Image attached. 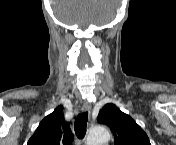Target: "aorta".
Returning <instances> with one entry per match:
<instances>
[{
	"label": "aorta",
	"instance_id": "obj_1",
	"mask_svg": "<svg viewBox=\"0 0 176 145\" xmlns=\"http://www.w3.org/2000/svg\"><path fill=\"white\" fill-rule=\"evenodd\" d=\"M110 139V133L104 126L97 125L89 130L87 144L88 145H103Z\"/></svg>",
	"mask_w": 176,
	"mask_h": 145
}]
</instances>
